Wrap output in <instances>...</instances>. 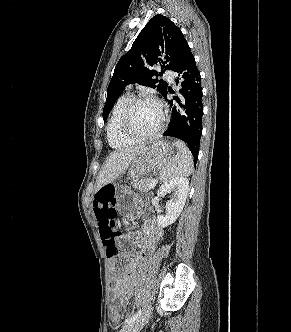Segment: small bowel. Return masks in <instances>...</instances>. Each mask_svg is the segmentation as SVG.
I'll return each mask as SVG.
<instances>
[{"label":"small bowel","instance_id":"small-bowel-1","mask_svg":"<svg viewBox=\"0 0 291 332\" xmlns=\"http://www.w3.org/2000/svg\"><path fill=\"white\" fill-rule=\"evenodd\" d=\"M103 190L114 191V188L111 184H104L99 188L97 193ZM93 206L94 213L96 215L95 199L93 202ZM138 235V252L133 256H131L129 250L125 247V245L135 243L134 234L128 231L120 237L122 249L119 257L122 259H129V263L124 273L117 275L112 283L111 297L112 300L116 302L119 307H125L128 300L132 297L136 283L137 265L143 258H145L150 252H152L156 248V245L161 239L162 232L153 220H148L143 225L141 231L138 232Z\"/></svg>","mask_w":291,"mask_h":332}]
</instances>
